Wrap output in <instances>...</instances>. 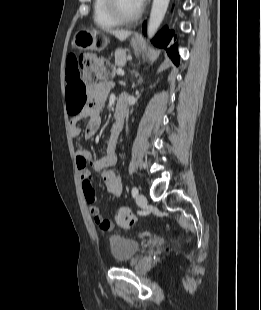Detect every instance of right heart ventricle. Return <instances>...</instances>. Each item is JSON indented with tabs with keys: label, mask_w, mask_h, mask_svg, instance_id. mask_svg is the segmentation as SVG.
Wrapping results in <instances>:
<instances>
[{
	"label": "right heart ventricle",
	"mask_w": 261,
	"mask_h": 310,
	"mask_svg": "<svg viewBox=\"0 0 261 310\" xmlns=\"http://www.w3.org/2000/svg\"><path fill=\"white\" fill-rule=\"evenodd\" d=\"M93 20L101 29H111L119 25L106 11L104 0H93Z\"/></svg>",
	"instance_id": "e07e8e85"
}]
</instances>
